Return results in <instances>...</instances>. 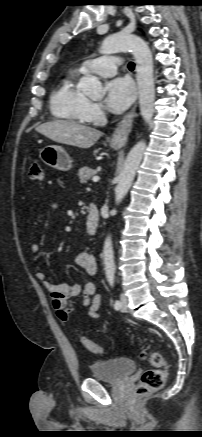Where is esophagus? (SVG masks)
Instances as JSON below:
<instances>
[{
	"label": "esophagus",
	"instance_id": "obj_1",
	"mask_svg": "<svg viewBox=\"0 0 202 437\" xmlns=\"http://www.w3.org/2000/svg\"><path fill=\"white\" fill-rule=\"evenodd\" d=\"M137 103L131 108V110L123 117L119 122L116 129L114 130L111 143L118 146H123L126 144L128 135L131 131L134 118L136 117Z\"/></svg>",
	"mask_w": 202,
	"mask_h": 437
}]
</instances>
